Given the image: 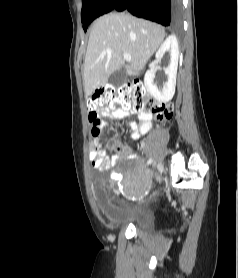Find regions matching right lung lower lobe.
Here are the masks:
<instances>
[{
    "label": "right lung lower lobe",
    "mask_w": 238,
    "mask_h": 278,
    "mask_svg": "<svg viewBox=\"0 0 238 278\" xmlns=\"http://www.w3.org/2000/svg\"><path fill=\"white\" fill-rule=\"evenodd\" d=\"M112 10H127L134 16L172 27L178 26L182 18L181 0H102L94 8L91 22Z\"/></svg>",
    "instance_id": "right-lung-lower-lobe-1"
}]
</instances>
